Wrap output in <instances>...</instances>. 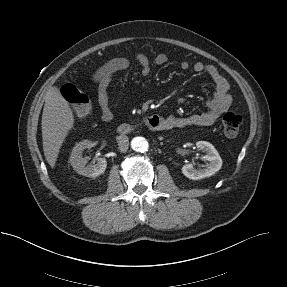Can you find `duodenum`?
<instances>
[{
	"instance_id": "obj_1",
	"label": "duodenum",
	"mask_w": 287,
	"mask_h": 287,
	"mask_svg": "<svg viewBox=\"0 0 287 287\" xmlns=\"http://www.w3.org/2000/svg\"><path fill=\"white\" fill-rule=\"evenodd\" d=\"M141 124L150 130L156 131L162 128V121L159 116L153 115L143 118ZM141 124L122 123L117 127L119 134L125 135L134 132Z\"/></svg>"
}]
</instances>
